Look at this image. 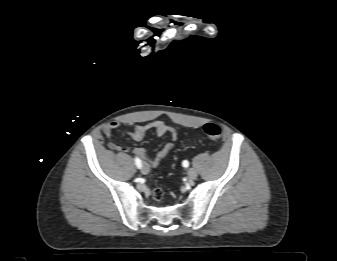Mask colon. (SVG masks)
Listing matches in <instances>:
<instances>
[{
    "label": "colon",
    "instance_id": "obj_1",
    "mask_svg": "<svg viewBox=\"0 0 337 261\" xmlns=\"http://www.w3.org/2000/svg\"><path fill=\"white\" fill-rule=\"evenodd\" d=\"M203 130L210 140H218L221 136V128L217 124L207 123ZM152 197L155 201L160 202L164 198V192L160 188H155L152 191Z\"/></svg>",
    "mask_w": 337,
    "mask_h": 261
}]
</instances>
